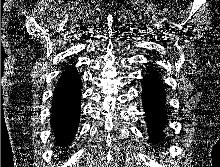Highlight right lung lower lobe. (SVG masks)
<instances>
[{
    "label": "right lung lower lobe",
    "mask_w": 220,
    "mask_h": 167,
    "mask_svg": "<svg viewBox=\"0 0 220 167\" xmlns=\"http://www.w3.org/2000/svg\"><path fill=\"white\" fill-rule=\"evenodd\" d=\"M81 78L74 66L64 69L54 92L51 126L56 143L67 147L74 139L79 125Z\"/></svg>",
    "instance_id": "1"
}]
</instances>
